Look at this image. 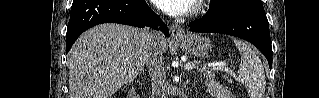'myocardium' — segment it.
Instances as JSON below:
<instances>
[{
  "mask_svg": "<svg viewBox=\"0 0 319 98\" xmlns=\"http://www.w3.org/2000/svg\"><path fill=\"white\" fill-rule=\"evenodd\" d=\"M199 3H202V2H199ZM200 6H201V5H200V4H198V5L196 6V9H198Z\"/></svg>",
  "mask_w": 319,
  "mask_h": 98,
  "instance_id": "myocardium-1",
  "label": "myocardium"
}]
</instances>
